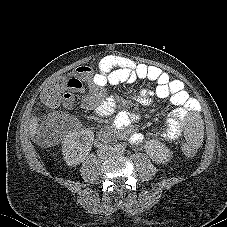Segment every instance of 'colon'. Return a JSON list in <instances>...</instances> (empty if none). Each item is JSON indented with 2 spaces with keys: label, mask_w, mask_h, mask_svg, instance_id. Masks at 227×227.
<instances>
[{
  "label": "colon",
  "mask_w": 227,
  "mask_h": 227,
  "mask_svg": "<svg viewBox=\"0 0 227 227\" xmlns=\"http://www.w3.org/2000/svg\"><path fill=\"white\" fill-rule=\"evenodd\" d=\"M66 89L65 79H56L47 84L40 93V100L48 108H58L63 102V93ZM70 123L61 118H55L44 126L38 135L39 143L43 146L58 144L67 134ZM181 151L188 157L196 154L195 149L187 142L181 146Z\"/></svg>",
  "instance_id": "5ec220e1"
}]
</instances>
